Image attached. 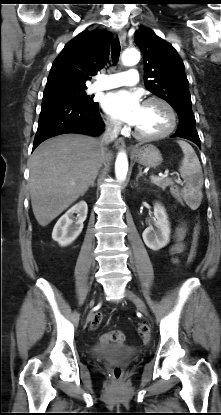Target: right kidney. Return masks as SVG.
<instances>
[{"label":"right kidney","mask_w":221,"mask_h":415,"mask_svg":"<svg viewBox=\"0 0 221 415\" xmlns=\"http://www.w3.org/2000/svg\"><path fill=\"white\" fill-rule=\"evenodd\" d=\"M88 206L86 202L81 201L71 207L54 226L52 232L53 240L61 246L71 244L82 232L83 222L87 218ZM77 213L76 222L73 221V214Z\"/></svg>","instance_id":"1"}]
</instances>
